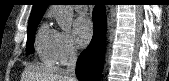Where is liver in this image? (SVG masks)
Returning a JSON list of instances; mask_svg holds the SVG:
<instances>
[{"instance_id":"1","label":"liver","mask_w":169,"mask_h":81,"mask_svg":"<svg viewBox=\"0 0 169 81\" xmlns=\"http://www.w3.org/2000/svg\"><path fill=\"white\" fill-rule=\"evenodd\" d=\"M21 81H73L62 68L27 66Z\"/></svg>"}]
</instances>
